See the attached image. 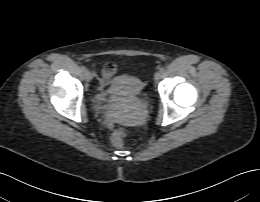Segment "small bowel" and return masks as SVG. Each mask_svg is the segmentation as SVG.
<instances>
[{
	"label": "small bowel",
	"mask_w": 260,
	"mask_h": 202,
	"mask_svg": "<svg viewBox=\"0 0 260 202\" xmlns=\"http://www.w3.org/2000/svg\"><path fill=\"white\" fill-rule=\"evenodd\" d=\"M107 86H108V84L105 83L103 88L106 89ZM106 122H107V125H108L109 127H112V126H113V121H112L111 118H107Z\"/></svg>",
	"instance_id": "c3829d8e"
}]
</instances>
